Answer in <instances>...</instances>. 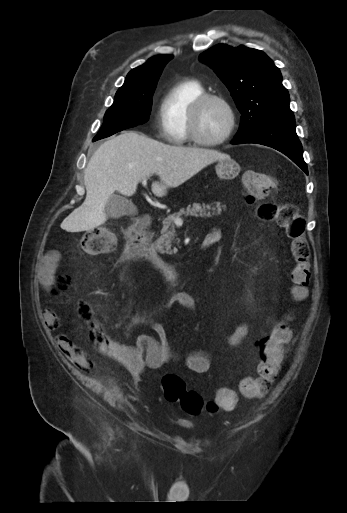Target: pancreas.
<instances>
[{"label":"pancreas","instance_id":"pancreas-1","mask_svg":"<svg viewBox=\"0 0 347 513\" xmlns=\"http://www.w3.org/2000/svg\"><path fill=\"white\" fill-rule=\"evenodd\" d=\"M225 206L220 205L218 202L211 204L192 203L186 208H181L162 220L161 236L156 240L155 245L160 253L173 254L176 249L171 250L172 241L175 239L176 231L173 224V218L176 216H194V217H211L212 215L221 214L222 208ZM212 212V213H211Z\"/></svg>","mask_w":347,"mask_h":513}]
</instances>
